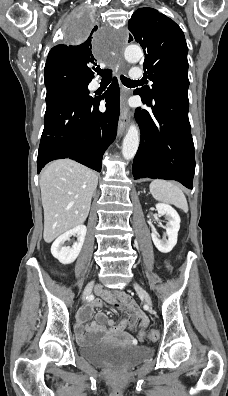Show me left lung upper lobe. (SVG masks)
Wrapping results in <instances>:
<instances>
[{
  "label": "left lung upper lobe",
  "instance_id": "5c2ea615",
  "mask_svg": "<svg viewBox=\"0 0 228 396\" xmlns=\"http://www.w3.org/2000/svg\"><path fill=\"white\" fill-rule=\"evenodd\" d=\"M128 29L144 49L143 67L147 77L153 81L151 88L140 91L145 100H152L160 89L187 90L188 47L181 28L170 18L153 8H140L129 20Z\"/></svg>",
  "mask_w": 228,
  "mask_h": 396
}]
</instances>
